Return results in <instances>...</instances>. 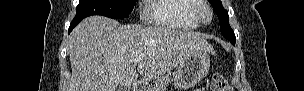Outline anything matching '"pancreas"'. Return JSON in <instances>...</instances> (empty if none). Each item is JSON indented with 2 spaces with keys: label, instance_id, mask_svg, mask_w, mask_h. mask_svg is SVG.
Instances as JSON below:
<instances>
[{
  "label": "pancreas",
  "instance_id": "pancreas-1",
  "mask_svg": "<svg viewBox=\"0 0 304 91\" xmlns=\"http://www.w3.org/2000/svg\"><path fill=\"white\" fill-rule=\"evenodd\" d=\"M170 81H171V79L169 76H166V75L162 76L158 80L156 85L154 86V90L155 91H164L167 88Z\"/></svg>",
  "mask_w": 304,
  "mask_h": 91
}]
</instances>
